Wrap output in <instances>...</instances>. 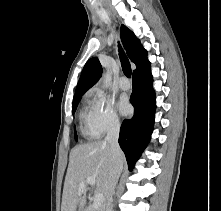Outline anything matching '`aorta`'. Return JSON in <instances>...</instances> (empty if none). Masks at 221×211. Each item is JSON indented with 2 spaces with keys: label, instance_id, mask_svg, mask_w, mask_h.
Wrapping results in <instances>:
<instances>
[{
  "label": "aorta",
  "instance_id": "762f6f07",
  "mask_svg": "<svg viewBox=\"0 0 221 211\" xmlns=\"http://www.w3.org/2000/svg\"><path fill=\"white\" fill-rule=\"evenodd\" d=\"M110 82H111V75L109 73H106L103 77V86L107 88Z\"/></svg>",
  "mask_w": 221,
  "mask_h": 211
}]
</instances>
